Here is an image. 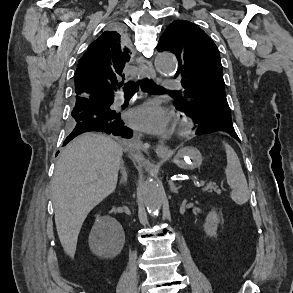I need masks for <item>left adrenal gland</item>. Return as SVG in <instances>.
<instances>
[{
  "label": "left adrenal gland",
  "mask_w": 293,
  "mask_h": 293,
  "mask_svg": "<svg viewBox=\"0 0 293 293\" xmlns=\"http://www.w3.org/2000/svg\"><path fill=\"white\" fill-rule=\"evenodd\" d=\"M169 186H170L171 192L174 194H178V190L181 188V186L176 187L174 182H172V181H169Z\"/></svg>",
  "instance_id": "1"
}]
</instances>
